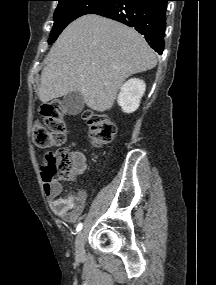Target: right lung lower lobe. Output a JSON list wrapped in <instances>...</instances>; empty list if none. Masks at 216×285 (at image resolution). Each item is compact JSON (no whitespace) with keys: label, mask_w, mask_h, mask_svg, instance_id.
Segmentation results:
<instances>
[{"label":"right lung lower lobe","mask_w":216,"mask_h":285,"mask_svg":"<svg viewBox=\"0 0 216 285\" xmlns=\"http://www.w3.org/2000/svg\"><path fill=\"white\" fill-rule=\"evenodd\" d=\"M169 0H113L90 14L134 27L160 55L164 48L166 8Z\"/></svg>","instance_id":"obj_1"}]
</instances>
